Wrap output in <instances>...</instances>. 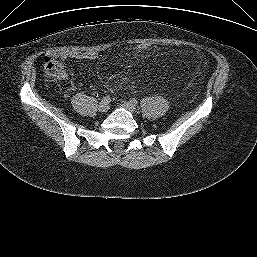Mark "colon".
<instances>
[{
    "label": "colon",
    "instance_id": "obj_1",
    "mask_svg": "<svg viewBox=\"0 0 257 257\" xmlns=\"http://www.w3.org/2000/svg\"><path fill=\"white\" fill-rule=\"evenodd\" d=\"M135 49L139 52H144L150 49V45L146 42H141L135 45ZM45 71L47 76L53 80H60L65 77L63 66L55 60L45 59Z\"/></svg>",
    "mask_w": 257,
    "mask_h": 257
}]
</instances>
